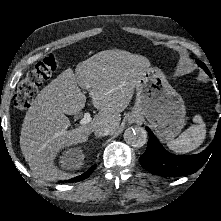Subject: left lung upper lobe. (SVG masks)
I'll list each match as a JSON object with an SVG mask.
<instances>
[{
    "mask_svg": "<svg viewBox=\"0 0 221 221\" xmlns=\"http://www.w3.org/2000/svg\"><path fill=\"white\" fill-rule=\"evenodd\" d=\"M197 63H198L199 66H201L206 72H208L206 66H205L202 62L197 61Z\"/></svg>",
    "mask_w": 221,
    "mask_h": 221,
    "instance_id": "left-lung-upper-lobe-1",
    "label": "left lung upper lobe"
}]
</instances>
